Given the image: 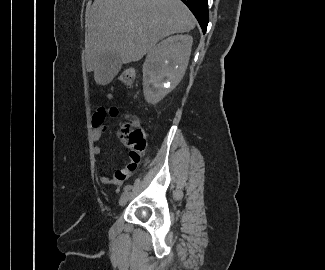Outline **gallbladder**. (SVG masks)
<instances>
[{
  "label": "gallbladder",
  "instance_id": "1",
  "mask_svg": "<svg viewBox=\"0 0 325 270\" xmlns=\"http://www.w3.org/2000/svg\"><path fill=\"white\" fill-rule=\"evenodd\" d=\"M121 66L122 63L116 53L106 52L100 58V67L97 72L108 77V79H113L120 71Z\"/></svg>",
  "mask_w": 325,
  "mask_h": 270
}]
</instances>
